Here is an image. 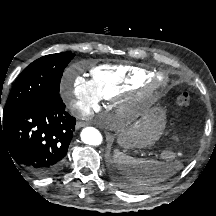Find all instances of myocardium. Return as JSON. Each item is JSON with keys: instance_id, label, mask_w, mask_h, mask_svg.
Wrapping results in <instances>:
<instances>
[{"instance_id": "myocardium-1", "label": "myocardium", "mask_w": 216, "mask_h": 216, "mask_svg": "<svg viewBox=\"0 0 216 216\" xmlns=\"http://www.w3.org/2000/svg\"><path fill=\"white\" fill-rule=\"evenodd\" d=\"M153 81H154L153 86L156 87V88L163 85V79H162L161 76H155Z\"/></svg>"}]
</instances>
